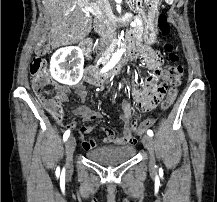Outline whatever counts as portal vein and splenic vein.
Masks as SVG:
<instances>
[{
	"instance_id": "portal-vein-and-splenic-vein-1",
	"label": "portal vein and splenic vein",
	"mask_w": 217,
	"mask_h": 202,
	"mask_svg": "<svg viewBox=\"0 0 217 202\" xmlns=\"http://www.w3.org/2000/svg\"><path fill=\"white\" fill-rule=\"evenodd\" d=\"M88 10H92V8H88ZM130 26H132V28H135L136 22H131Z\"/></svg>"
}]
</instances>
